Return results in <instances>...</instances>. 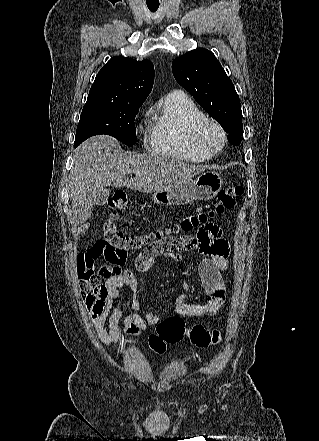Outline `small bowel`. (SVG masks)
Instances as JSON below:
<instances>
[{
	"mask_svg": "<svg viewBox=\"0 0 319 441\" xmlns=\"http://www.w3.org/2000/svg\"><path fill=\"white\" fill-rule=\"evenodd\" d=\"M221 228L209 223L199 230L196 237L184 235L166 238L145 248L135 259V271L123 268V265H104L98 270L93 269V283L87 289H82V297L90 316L95 333L104 345L117 343L122 332L119 321L122 317V302L124 291L132 293L130 308L134 312L127 315L123 323V333L127 336H138L147 329L148 325H155L162 321L159 314L144 307L137 296L138 273L150 270L155 261L166 256L180 261V253L196 251L201 258L198 264V274L206 292L204 304L188 303L186 294L177 296L172 312L183 317H198L216 313L224 304L226 288L221 272L229 269L228 257L230 246L222 237ZM103 254L100 243L94 245L77 257L78 265L93 264L94 260ZM104 280V281H103ZM182 290L191 289V284L183 280ZM108 322V330L105 324Z\"/></svg>",
	"mask_w": 319,
	"mask_h": 441,
	"instance_id": "1",
	"label": "small bowel"
}]
</instances>
